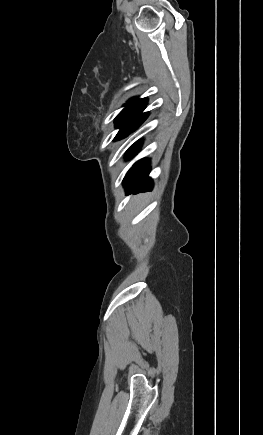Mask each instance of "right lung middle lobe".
Returning a JSON list of instances; mask_svg holds the SVG:
<instances>
[{
	"mask_svg": "<svg viewBox=\"0 0 263 435\" xmlns=\"http://www.w3.org/2000/svg\"><path fill=\"white\" fill-rule=\"evenodd\" d=\"M145 109V106H126L116 117L115 123L116 127L120 128V131L115 137V140H120L127 135L134 125L136 119Z\"/></svg>",
	"mask_w": 263,
	"mask_h": 435,
	"instance_id": "1",
	"label": "right lung middle lobe"
}]
</instances>
